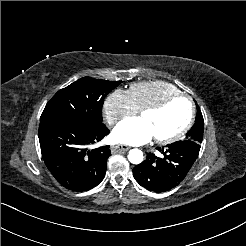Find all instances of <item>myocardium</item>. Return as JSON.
Returning a JSON list of instances; mask_svg holds the SVG:
<instances>
[{"instance_id":"obj_1","label":"myocardium","mask_w":246,"mask_h":246,"mask_svg":"<svg viewBox=\"0 0 246 246\" xmlns=\"http://www.w3.org/2000/svg\"><path fill=\"white\" fill-rule=\"evenodd\" d=\"M177 98H184L189 103L190 111H189L187 121L185 125L175 134L165 137V138H154L158 144L165 145V144L172 143L178 140L179 138H181L191 128L193 121H194V115H195L194 104H193L191 97L184 93H177L170 97H167L166 99L162 100L161 102L157 104L147 106L139 112L140 116L148 112H159L163 110L169 103H171L173 100Z\"/></svg>"}]
</instances>
